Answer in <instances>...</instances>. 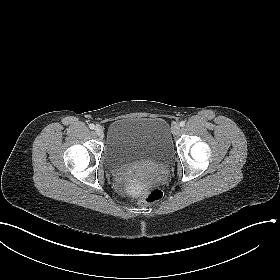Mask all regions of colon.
<instances>
[{
    "mask_svg": "<svg viewBox=\"0 0 280 280\" xmlns=\"http://www.w3.org/2000/svg\"><path fill=\"white\" fill-rule=\"evenodd\" d=\"M163 196L162 191L159 188H150L144 195V201L148 204L158 202Z\"/></svg>",
    "mask_w": 280,
    "mask_h": 280,
    "instance_id": "5ec220e1",
    "label": "colon"
}]
</instances>
